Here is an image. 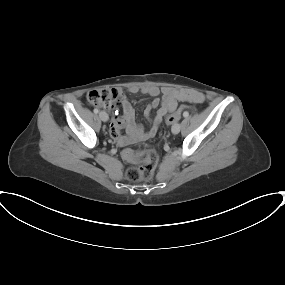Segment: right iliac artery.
<instances>
[{"label":"right iliac artery","instance_id":"82829eb1","mask_svg":"<svg viewBox=\"0 0 285 285\" xmlns=\"http://www.w3.org/2000/svg\"><path fill=\"white\" fill-rule=\"evenodd\" d=\"M99 111L97 108L94 109V113L97 114Z\"/></svg>","mask_w":285,"mask_h":285}]
</instances>
